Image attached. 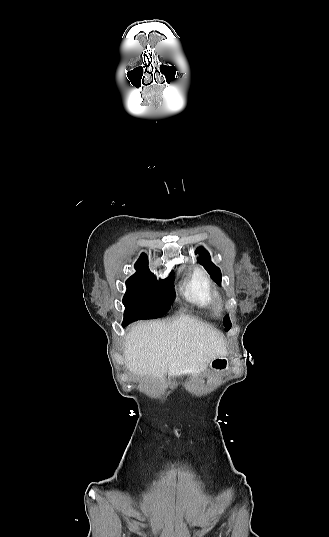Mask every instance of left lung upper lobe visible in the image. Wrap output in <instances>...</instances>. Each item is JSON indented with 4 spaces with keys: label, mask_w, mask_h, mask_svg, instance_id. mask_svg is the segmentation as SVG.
Listing matches in <instances>:
<instances>
[{
    "label": "left lung upper lobe",
    "mask_w": 329,
    "mask_h": 537,
    "mask_svg": "<svg viewBox=\"0 0 329 537\" xmlns=\"http://www.w3.org/2000/svg\"><path fill=\"white\" fill-rule=\"evenodd\" d=\"M199 253L200 257L198 258V261L204 266V268L207 270V272L210 274L211 278L216 281L218 284H221V271L220 269L215 266L210 261V255L209 253L202 247L198 248L196 250V254ZM225 328L229 330L231 328V322L229 317L227 316L225 318Z\"/></svg>",
    "instance_id": "obj_1"
}]
</instances>
